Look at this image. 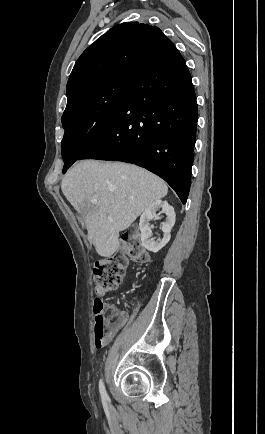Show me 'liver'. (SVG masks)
Wrapping results in <instances>:
<instances>
[{"label": "liver", "mask_w": 265, "mask_h": 434, "mask_svg": "<svg viewBox=\"0 0 265 434\" xmlns=\"http://www.w3.org/2000/svg\"><path fill=\"white\" fill-rule=\"evenodd\" d=\"M61 190L84 218L88 240L104 258L118 250L119 232L168 192L161 178L143 168L98 160H83L68 170ZM90 200H97V204Z\"/></svg>", "instance_id": "obj_1"}]
</instances>
